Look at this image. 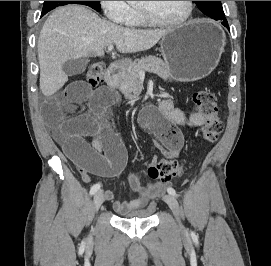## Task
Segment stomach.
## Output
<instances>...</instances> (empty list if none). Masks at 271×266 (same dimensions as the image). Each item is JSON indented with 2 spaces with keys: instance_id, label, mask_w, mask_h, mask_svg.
Wrapping results in <instances>:
<instances>
[{
  "instance_id": "0dacf381",
  "label": "stomach",
  "mask_w": 271,
  "mask_h": 266,
  "mask_svg": "<svg viewBox=\"0 0 271 266\" xmlns=\"http://www.w3.org/2000/svg\"><path fill=\"white\" fill-rule=\"evenodd\" d=\"M225 44L224 31L207 20L171 29L160 42L168 74L180 82L208 76L218 65Z\"/></svg>"
}]
</instances>
